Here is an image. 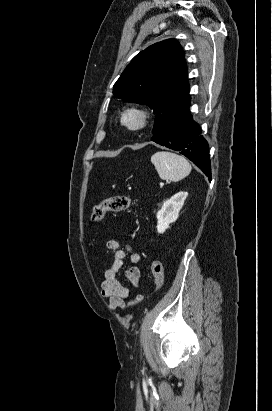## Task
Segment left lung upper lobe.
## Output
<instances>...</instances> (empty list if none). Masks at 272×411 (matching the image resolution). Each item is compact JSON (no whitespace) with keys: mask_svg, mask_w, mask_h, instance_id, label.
<instances>
[{"mask_svg":"<svg viewBox=\"0 0 272 411\" xmlns=\"http://www.w3.org/2000/svg\"><path fill=\"white\" fill-rule=\"evenodd\" d=\"M113 94L125 102L154 109L156 133L190 101L187 67L179 42L164 40L137 54L114 84Z\"/></svg>","mask_w":272,"mask_h":411,"instance_id":"obj_1","label":"left lung upper lobe"}]
</instances>
